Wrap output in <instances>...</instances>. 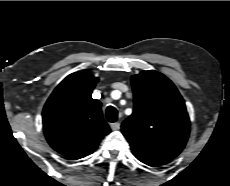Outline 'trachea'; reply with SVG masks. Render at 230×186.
<instances>
[{
	"label": "trachea",
	"instance_id": "obj_1",
	"mask_svg": "<svg viewBox=\"0 0 230 186\" xmlns=\"http://www.w3.org/2000/svg\"><path fill=\"white\" fill-rule=\"evenodd\" d=\"M118 113L115 107L108 106L106 109V119L109 122H115L117 120Z\"/></svg>",
	"mask_w": 230,
	"mask_h": 186
}]
</instances>
